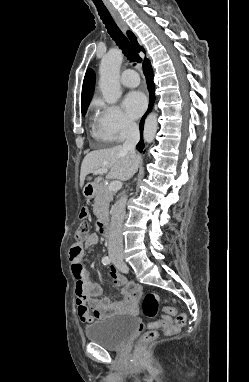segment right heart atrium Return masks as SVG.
Returning <instances> with one entry per match:
<instances>
[{"label": "right heart atrium", "mask_w": 249, "mask_h": 382, "mask_svg": "<svg viewBox=\"0 0 249 382\" xmlns=\"http://www.w3.org/2000/svg\"><path fill=\"white\" fill-rule=\"evenodd\" d=\"M96 108L98 128L107 140L121 141L136 131V122L120 106L98 101Z\"/></svg>", "instance_id": "1"}]
</instances>
